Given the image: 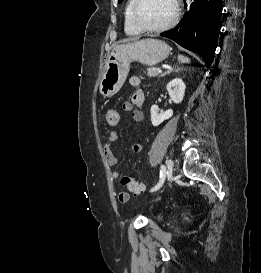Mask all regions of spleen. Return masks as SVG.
<instances>
[{"instance_id": "1", "label": "spleen", "mask_w": 261, "mask_h": 273, "mask_svg": "<svg viewBox=\"0 0 261 273\" xmlns=\"http://www.w3.org/2000/svg\"><path fill=\"white\" fill-rule=\"evenodd\" d=\"M178 61L179 63H190V59L181 54L178 55Z\"/></svg>"}]
</instances>
